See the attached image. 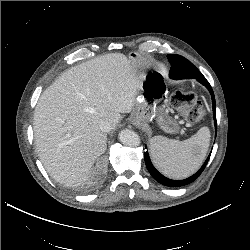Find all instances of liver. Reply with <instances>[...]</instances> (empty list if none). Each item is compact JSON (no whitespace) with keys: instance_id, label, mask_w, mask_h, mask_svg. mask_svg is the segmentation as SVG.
I'll use <instances>...</instances> for the list:
<instances>
[{"instance_id":"6515ba94","label":"liver","mask_w":250,"mask_h":250,"mask_svg":"<svg viewBox=\"0 0 250 250\" xmlns=\"http://www.w3.org/2000/svg\"><path fill=\"white\" fill-rule=\"evenodd\" d=\"M137 61L106 54L64 72L40 96L33 118L38 156L49 175L66 186L88 178L107 147L99 125L114 129L130 113L145 75Z\"/></svg>"}]
</instances>
